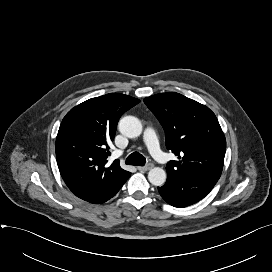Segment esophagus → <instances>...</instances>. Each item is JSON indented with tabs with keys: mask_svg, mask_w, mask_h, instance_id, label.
I'll use <instances>...</instances> for the list:
<instances>
[{
	"mask_svg": "<svg viewBox=\"0 0 272 272\" xmlns=\"http://www.w3.org/2000/svg\"><path fill=\"white\" fill-rule=\"evenodd\" d=\"M153 167L151 163L147 164L146 166L138 167V170L141 172H146Z\"/></svg>",
	"mask_w": 272,
	"mask_h": 272,
	"instance_id": "34e87169",
	"label": "esophagus"
}]
</instances>
